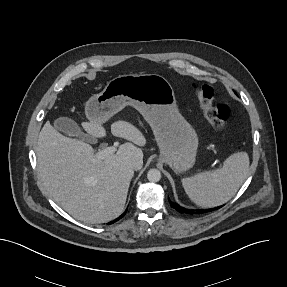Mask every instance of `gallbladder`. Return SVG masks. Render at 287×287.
Instances as JSON below:
<instances>
[{"mask_svg":"<svg viewBox=\"0 0 287 287\" xmlns=\"http://www.w3.org/2000/svg\"><path fill=\"white\" fill-rule=\"evenodd\" d=\"M54 127L69 136L79 138L83 141L93 142L94 140L86 135L79 125L69 117H59L54 121Z\"/></svg>","mask_w":287,"mask_h":287,"instance_id":"1","label":"gallbladder"}]
</instances>
